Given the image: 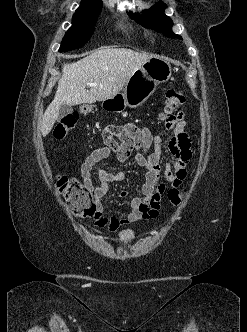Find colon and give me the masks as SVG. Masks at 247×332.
Instances as JSON below:
<instances>
[{
    "mask_svg": "<svg viewBox=\"0 0 247 332\" xmlns=\"http://www.w3.org/2000/svg\"><path fill=\"white\" fill-rule=\"evenodd\" d=\"M185 101L186 97L181 90L168 89L165 92V106L162 117L168 127H174L177 124L182 114L179 109L185 104ZM91 110V106L83 105L80 107L79 112L64 116L53 130L54 139L57 141L65 139L77 126L79 114L86 115ZM57 188L74 214L80 217L96 216V205L80 181L75 178L60 176L57 179ZM167 196L171 204L177 205L180 202L182 193L177 189H171L168 191Z\"/></svg>",
    "mask_w": 247,
    "mask_h": 332,
    "instance_id": "5ec220e1",
    "label": "colon"
}]
</instances>
